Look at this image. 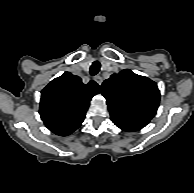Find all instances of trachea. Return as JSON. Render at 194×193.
Wrapping results in <instances>:
<instances>
[{
  "mask_svg": "<svg viewBox=\"0 0 194 193\" xmlns=\"http://www.w3.org/2000/svg\"><path fill=\"white\" fill-rule=\"evenodd\" d=\"M100 67H101V64H100L99 61L93 62L92 65H91V67H90V71H89L90 74L92 76L96 75L99 72Z\"/></svg>",
  "mask_w": 194,
  "mask_h": 193,
  "instance_id": "3493384b",
  "label": "trachea"
}]
</instances>
